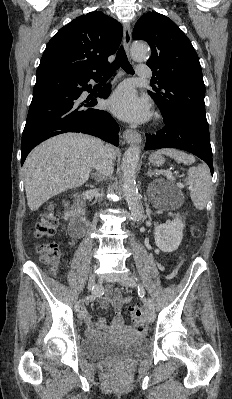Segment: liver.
Returning <instances> with one entry per match:
<instances>
[{
	"label": "liver",
	"mask_w": 232,
	"mask_h": 399,
	"mask_svg": "<svg viewBox=\"0 0 232 399\" xmlns=\"http://www.w3.org/2000/svg\"><path fill=\"white\" fill-rule=\"evenodd\" d=\"M114 158L113 146L85 134H60L37 146L25 160V190L30 209L36 211L44 201L87 182L101 150Z\"/></svg>",
	"instance_id": "6515ba94"
}]
</instances>
